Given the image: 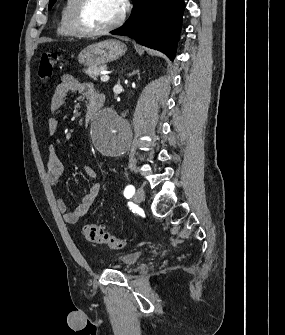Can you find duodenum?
<instances>
[{
    "label": "duodenum",
    "instance_id": "410a0bca",
    "mask_svg": "<svg viewBox=\"0 0 285 335\" xmlns=\"http://www.w3.org/2000/svg\"><path fill=\"white\" fill-rule=\"evenodd\" d=\"M103 105V99L91 101L85 114V124H89Z\"/></svg>",
    "mask_w": 285,
    "mask_h": 335
}]
</instances>
